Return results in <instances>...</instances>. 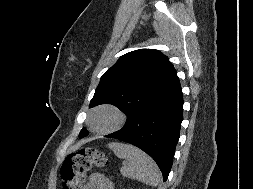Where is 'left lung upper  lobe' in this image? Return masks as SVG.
<instances>
[{
  "instance_id": "obj_1",
  "label": "left lung upper lobe",
  "mask_w": 253,
  "mask_h": 189,
  "mask_svg": "<svg viewBox=\"0 0 253 189\" xmlns=\"http://www.w3.org/2000/svg\"><path fill=\"white\" fill-rule=\"evenodd\" d=\"M178 80L173 65L160 51L135 50L121 56L103 74L90 107L113 104L127 115L128 121L167 92ZM86 133L82 129L79 136Z\"/></svg>"
}]
</instances>
